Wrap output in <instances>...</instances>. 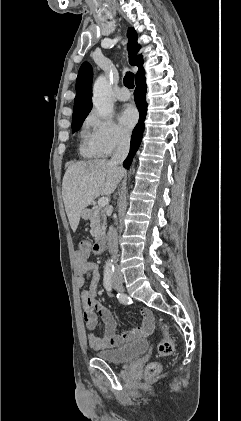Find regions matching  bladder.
<instances>
[{"instance_id":"1","label":"bladder","mask_w":241,"mask_h":421,"mask_svg":"<svg viewBox=\"0 0 241 421\" xmlns=\"http://www.w3.org/2000/svg\"><path fill=\"white\" fill-rule=\"evenodd\" d=\"M148 349L146 340H136L119 348L99 351L96 356L108 363L124 364L145 353Z\"/></svg>"}]
</instances>
